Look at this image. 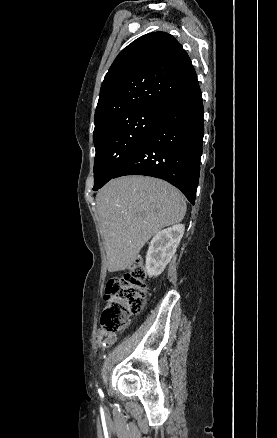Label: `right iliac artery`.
<instances>
[{
    "instance_id": "82829eb1",
    "label": "right iliac artery",
    "mask_w": 277,
    "mask_h": 438,
    "mask_svg": "<svg viewBox=\"0 0 277 438\" xmlns=\"http://www.w3.org/2000/svg\"><path fill=\"white\" fill-rule=\"evenodd\" d=\"M99 391V394L101 395V396H103V393H102V391L99 389L98 390Z\"/></svg>"
}]
</instances>
